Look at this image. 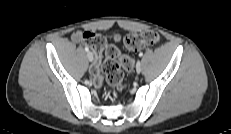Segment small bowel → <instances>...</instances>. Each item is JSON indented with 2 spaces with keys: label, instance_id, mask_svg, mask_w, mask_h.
Instances as JSON below:
<instances>
[{
  "label": "small bowel",
  "instance_id": "1",
  "mask_svg": "<svg viewBox=\"0 0 231 134\" xmlns=\"http://www.w3.org/2000/svg\"><path fill=\"white\" fill-rule=\"evenodd\" d=\"M72 38L76 42L80 41V33H75Z\"/></svg>",
  "mask_w": 231,
  "mask_h": 134
}]
</instances>
